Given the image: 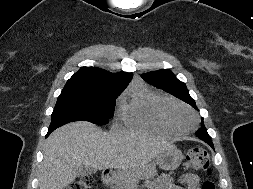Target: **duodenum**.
<instances>
[{
	"label": "duodenum",
	"mask_w": 253,
	"mask_h": 189,
	"mask_svg": "<svg viewBox=\"0 0 253 189\" xmlns=\"http://www.w3.org/2000/svg\"><path fill=\"white\" fill-rule=\"evenodd\" d=\"M114 180V171L111 169H105L102 173V182L106 186H110Z\"/></svg>",
	"instance_id": "1"
}]
</instances>
